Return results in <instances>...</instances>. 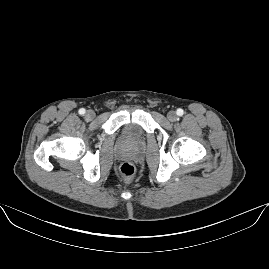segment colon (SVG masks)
I'll return each instance as SVG.
<instances>
[{
    "instance_id": "1",
    "label": "colon",
    "mask_w": 269,
    "mask_h": 269,
    "mask_svg": "<svg viewBox=\"0 0 269 269\" xmlns=\"http://www.w3.org/2000/svg\"><path fill=\"white\" fill-rule=\"evenodd\" d=\"M119 173L123 179H131L136 173V168L132 162L126 161L121 164Z\"/></svg>"
}]
</instances>
